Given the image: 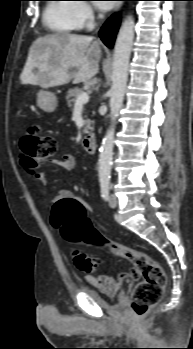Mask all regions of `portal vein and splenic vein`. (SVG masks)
I'll return each mask as SVG.
<instances>
[{
	"instance_id": "1",
	"label": "portal vein and splenic vein",
	"mask_w": 193,
	"mask_h": 349,
	"mask_svg": "<svg viewBox=\"0 0 193 349\" xmlns=\"http://www.w3.org/2000/svg\"><path fill=\"white\" fill-rule=\"evenodd\" d=\"M88 100H89L88 93L83 92L77 97L75 105L87 103Z\"/></svg>"
}]
</instances>
